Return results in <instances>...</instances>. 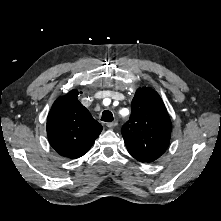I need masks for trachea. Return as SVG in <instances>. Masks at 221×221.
Returning <instances> with one entry per match:
<instances>
[{
  "label": "trachea",
  "mask_w": 221,
  "mask_h": 221,
  "mask_svg": "<svg viewBox=\"0 0 221 221\" xmlns=\"http://www.w3.org/2000/svg\"><path fill=\"white\" fill-rule=\"evenodd\" d=\"M101 120L105 122H112L113 114L109 110H105L102 112Z\"/></svg>",
  "instance_id": "1"
}]
</instances>
